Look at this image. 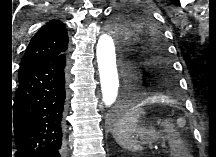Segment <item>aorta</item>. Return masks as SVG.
<instances>
[{"label":"aorta","mask_w":216,"mask_h":157,"mask_svg":"<svg viewBox=\"0 0 216 157\" xmlns=\"http://www.w3.org/2000/svg\"><path fill=\"white\" fill-rule=\"evenodd\" d=\"M97 63L100 75L102 100L106 106L115 103L118 96L119 76L116 66L114 41L110 34L99 37L96 47Z\"/></svg>","instance_id":"aorta-1"}]
</instances>
